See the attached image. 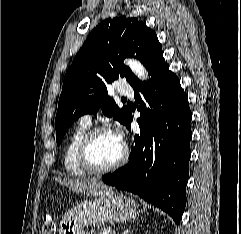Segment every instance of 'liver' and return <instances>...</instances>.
I'll use <instances>...</instances> for the list:
<instances>
[{
	"label": "liver",
	"mask_w": 241,
	"mask_h": 234,
	"mask_svg": "<svg viewBox=\"0 0 241 234\" xmlns=\"http://www.w3.org/2000/svg\"><path fill=\"white\" fill-rule=\"evenodd\" d=\"M55 182L72 189V191L87 196H100L110 191V187L96 179H69L67 177H54Z\"/></svg>",
	"instance_id": "1"
}]
</instances>
